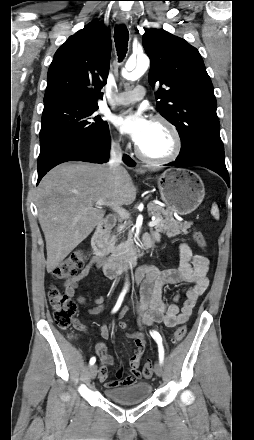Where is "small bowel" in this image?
<instances>
[{
    "label": "small bowel",
    "instance_id": "obj_1",
    "mask_svg": "<svg viewBox=\"0 0 254 440\" xmlns=\"http://www.w3.org/2000/svg\"><path fill=\"white\" fill-rule=\"evenodd\" d=\"M150 239L151 244L159 240L158 233H152L142 238ZM180 264L178 268L160 271L154 267L142 266L135 274V286L140 293V299L134 304L141 326H152L156 323H162L167 328H175L188 321L200 296L208 289L209 281L207 271L209 261L206 257L193 254L191 248L182 243L179 245ZM102 266V262L97 257H93L82 271L64 283V290L69 297L76 295L79 283L90 276L96 269ZM184 284L185 300L181 307L177 304L179 296H176L172 302H167L163 298V291L167 285ZM77 301L80 305L87 303L85 296H78ZM96 306L90 308L88 312L92 315L101 314L105 311L103 297L94 298ZM126 309L122 311L124 315ZM119 327L126 330V335L134 342V351L129 359L131 374L122 379L123 370H117V379L108 381L107 366L112 365L114 359L107 353L105 343L98 342L95 345L96 354L102 364L99 371V380L105 383L106 388H116L136 383L141 377L140 362L145 350L144 334L135 333L127 330L124 322L119 323ZM100 335L103 339L110 337V330L106 325L99 327Z\"/></svg>",
    "mask_w": 254,
    "mask_h": 440
}]
</instances>
